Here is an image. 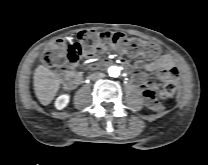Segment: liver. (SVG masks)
<instances>
[{
  "label": "liver",
  "instance_id": "liver-1",
  "mask_svg": "<svg viewBox=\"0 0 208 165\" xmlns=\"http://www.w3.org/2000/svg\"><path fill=\"white\" fill-rule=\"evenodd\" d=\"M33 78L36 97L42 105L50 104L60 87L56 74L47 67L39 65Z\"/></svg>",
  "mask_w": 208,
  "mask_h": 165
}]
</instances>
